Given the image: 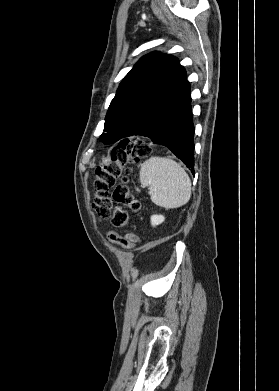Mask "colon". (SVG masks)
<instances>
[{
	"label": "colon",
	"instance_id": "obj_1",
	"mask_svg": "<svg viewBox=\"0 0 279 391\" xmlns=\"http://www.w3.org/2000/svg\"><path fill=\"white\" fill-rule=\"evenodd\" d=\"M149 152L148 144L140 139L124 140L112 150L109 160L97 167L92 207L100 220L110 219L113 226L122 228L128 223L126 208L134 213L140 212L141 203L128 188L127 174ZM108 239L126 249L135 245L115 232H109Z\"/></svg>",
	"mask_w": 279,
	"mask_h": 391
}]
</instances>
